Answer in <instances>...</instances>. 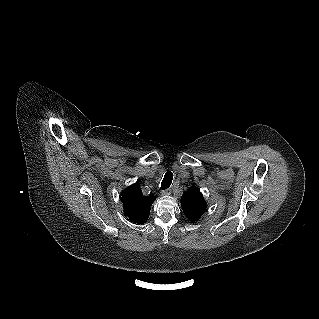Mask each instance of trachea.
Here are the masks:
<instances>
[{"label": "trachea", "instance_id": "1", "mask_svg": "<svg viewBox=\"0 0 319 319\" xmlns=\"http://www.w3.org/2000/svg\"><path fill=\"white\" fill-rule=\"evenodd\" d=\"M172 180H173V173L171 171L166 172L161 183V189L165 190L168 187H170Z\"/></svg>", "mask_w": 319, "mask_h": 319}]
</instances>
